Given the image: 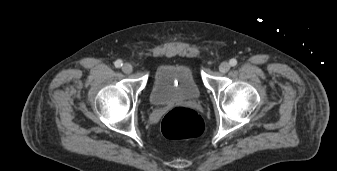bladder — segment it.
Instances as JSON below:
<instances>
[{"label":"bladder","instance_id":"1","mask_svg":"<svg viewBox=\"0 0 337 171\" xmlns=\"http://www.w3.org/2000/svg\"><path fill=\"white\" fill-rule=\"evenodd\" d=\"M200 89L186 64H163L155 72L150 91V101L156 106L178 102L196 101Z\"/></svg>","mask_w":337,"mask_h":171}]
</instances>
